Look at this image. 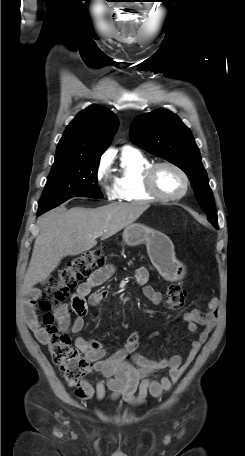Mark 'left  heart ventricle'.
I'll return each instance as SVG.
<instances>
[{
	"label": "left heart ventricle",
	"mask_w": 245,
	"mask_h": 456,
	"mask_svg": "<svg viewBox=\"0 0 245 456\" xmlns=\"http://www.w3.org/2000/svg\"><path fill=\"white\" fill-rule=\"evenodd\" d=\"M157 189L165 195H177L183 190L184 182L180 174L167 166L160 167L155 174Z\"/></svg>",
	"instance_id": "b2bd125f"
}]
</instances>
